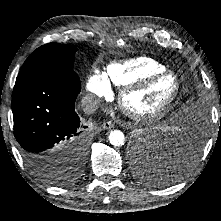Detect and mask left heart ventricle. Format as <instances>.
<instances>
[{"instance_id": "1", "label": "left heart ventricle", "mask_w": 221, "mask_h": 221, "mask_svg": "<svg viewBox=\"0 0 221 221\" xmlns=\"http://www.w3.org/2000/svg\"><path fill=\"white\" fill-rule=\"evenodd\" d=\"M174 89L170 78H161L128 98V105L138 111H150L162 104Z\"/></svg>"}]
</instances>
